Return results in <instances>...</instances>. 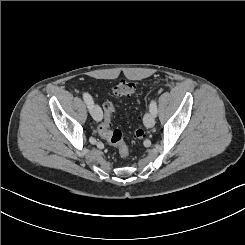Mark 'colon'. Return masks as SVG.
Listing matches in <instances>:
<instances>
[{"mask_svg": "<svg viewBox=\"0 0 245 245\" xmlns=\"http://www.w3.org/2000/svg\"><path fill=\"white\" fill-rule=\"evenodd\" d=\"M137 90L136 84L132 81L121 80L114 88L113 94L118 98H127L135 94ZM115 112V107L111 102L103 104V119L98 125L99 134L111 145L117 148L121 158H126L129 155V149L126 145L123 134L118 129H111V118ZM144 136L142 128L137 127L134 130V140L138 141Z\"/></svg>", "mask_w": 245, "mask_h": 245, "instance_id": "obj_1", "label": "colon"}]
</instances>
